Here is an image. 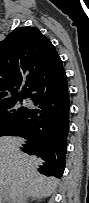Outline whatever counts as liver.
Segmentation results:
<instances>
[{
    "mask_svg": "<svg viewBox=\"0 0 89 203\" xmlns=\"http://www.w3.org/2000/svg\"><path fill=\"white\" fill-rule=\"evenodd\" d=\"M23 142L19 137L0 139V195L9 198V203H18L20 198L49 197L58 184L55 178L37 172L42 160L23 153L19 149Z\"/></svg>",
    "mask_w": 89,
    "mask_h": 203,
    "instance_id": "obj_1",
    "label": "liver"
}]
</instances>
